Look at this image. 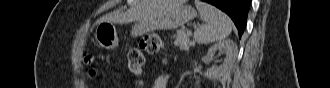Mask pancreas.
Wrapping results in <instances>:
<instances>
[{
	"mask_svg": "<svg viewBox=\"0 0 330 88\" xmlns=\"http://www.w3.org/2000/svg\"><path fill=\"white\" fill-rule=\"evenodd\" d=\"M174 38V45L178 46L181 50L187 51L192 45V42L190 41V34L185 30L177 31L176 35H174Z\"/></svg>",
	"mask_w": 330,
	"mask_h": 88,
	"instance_id": "cf45deb5",
	"label": "pancreas"
}]
</instances>
